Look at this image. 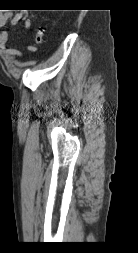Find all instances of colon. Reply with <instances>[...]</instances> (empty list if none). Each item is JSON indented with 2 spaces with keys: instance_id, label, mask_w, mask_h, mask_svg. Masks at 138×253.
Segmentation results:
<instances>
[{
  "instance_id": "5ec220e1",
  "label": "colon",
  "mask_w": 138,
  "mask_h": 253,
  "mask_svg": "<svg viewBox=\"0 0 138 253\" xmlns=\"http://www.w3.org/2000/svg\"><path fill=\"white\" fill-rule=\"evenodd\" d=\"M34 40H35V44L38 45V46L42 45L45 42V29L43 27H39L36 30ZM34 49L36 50L35 47H34Z\"/></svg>"
}]
</instances>
